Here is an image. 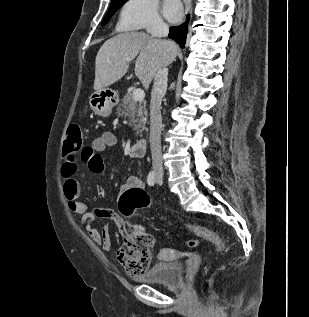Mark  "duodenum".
I'll use <instances>...</instances> for the list:
<instances>
[{
  "instance_id": "obj_1",
  "label": "duodenum",
  "mask_w": 309,
  "mask_h": 317,
  "mask_svg": "<svg viewBox=\"0 0 309 317\" xmlns=\"http://www.w3.org/2000/svg\"><path fill=\"white\" fill-rule=\"evenodd\" d=\"M145 151L146 141L144 139H140L129 147L128 154L130 157H142L144 156Z\"/></svg>"
}]
</instances>
